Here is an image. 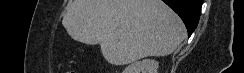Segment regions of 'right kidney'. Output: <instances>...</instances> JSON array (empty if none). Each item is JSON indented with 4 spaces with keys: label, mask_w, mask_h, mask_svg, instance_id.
Listing matches in <instances>:
<instances>
[{
    "label": "right kidney",
    "mask_w": 244,
    "mask_h": 73,
    "mask_svg": "<svg viewBox=\"0 0 244 73\" xmlns=\"http://www.w3.org/2000/svg\"><path fill=\"white\" fill-rule=\"evenodd\" d=\"M159 63L153 59L137 61L126 67L123 73H157Z\"/></svg>",
    "instance_id": "ca27d5eb"
}]
</instances>
